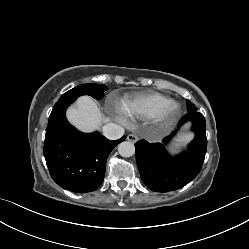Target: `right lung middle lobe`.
Listing matches in <instances>:
<instances>
[{
  "mask_svg": "<svg viewBox=\"0 0 249 249\" xmlns=\"http://www.w3.org/2000/svg\"><path fill=\"white\" fill-rule=\"evenodd\" d=\"M108 88L101 84H83L79 85L66 93H64L55 104L53 111H56L64 106H69L81 95H90L96 99H101L104 96V91Z\"/></svg>",
  "mask_w": 249,
  "mask_h": 249,
  "instance_id": "obj_1",
  "label": "right lung middle lobe"
}]
</instances>
